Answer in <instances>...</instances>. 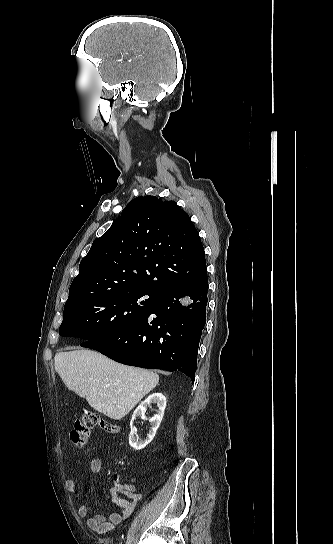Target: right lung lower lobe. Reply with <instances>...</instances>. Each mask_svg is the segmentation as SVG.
Returning a JSON list of instances; mask_svg holds the SVG:
<instances>
[{
    "mask_svg": "<svg viewBox=\"0 0 333 544\" xmlns=\"http://www.w3.org/2000/svg\"><path fill=\"white\" fill-rule=\"evenodd\" d=\"M207 291L206 271L190 283L157 294L151 309L130 327L81 346L126 365L179 370L194 381Z\"/></svg>",
    "mask_w": 333,
    "mask_h": 544,
    "instance_id": "98d812e1",
    "label": "right lung lower lobe"
}]
</instances>
